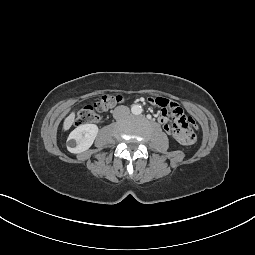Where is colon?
<instances>
[{
	"label": "colon",
	"mask_w": 255,
	"mask_h": 255,
	"mask_svg": "<svg viewBox=\"0 0 255 255\" xmlns=\"http://www.w3.org/2000/svg\"><path fill=\"white\" fill-rule=\"evenodd\" d=\"M121 100H122V97L120 95H112V94L103 95L96 103L92 105H86L79 110L77 114L76 124L83 125L87 123L98 122L100 118L99 113L109 110L110 108L115 106L117 103H119ZM184 118L186 119L188 125L193 130L195 131L199 130L197 123L194 121L191 115H188L187 117L184 115ZM177 141L179 142V140Z\"/></svg>",
	"instance_id": "5ec220e1"
}]
</instances>
